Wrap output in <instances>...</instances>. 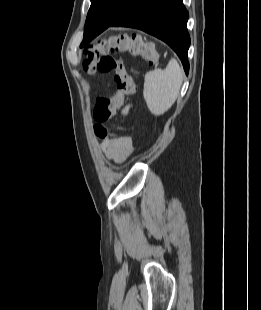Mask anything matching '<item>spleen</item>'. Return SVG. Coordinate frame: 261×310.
I'll return each mask as SVG.
<instances>
[{"label": "spleen", "instance_id": "obj_1", "mask_svg": "<svg viewBox=\"0 0 261 310\" xmlns=\"http://www.w3.org/2000/svg\"><path fill=\"white\" fill-rule=\"evenodd\" d=\"M183 74V69L175 59L169 61L166 69H155L145 74L143 96L153 115H163L175 103Z\"/></svg>", "mask_w": 261, "mask_h": 310}]
</instances>
